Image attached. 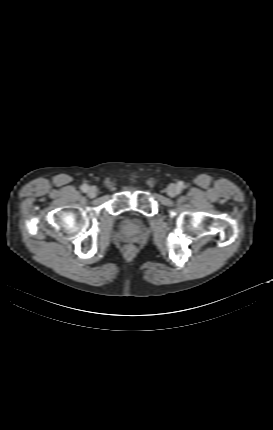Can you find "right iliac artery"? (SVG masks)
<instances>
[{
	"instance_id": "82829eb1",
	"label": "right iliac artery",
	"mask_w": 273,
	"mask_h": 430,
	"mask_svg": "<svg viewBox=\"0 0 273 430\" xmlns=\"http://www.w3.org/2000/svg\"><path fill=\"white\" fill-rule=\"evenodd\" d=\"M88 189H89V187H88V185H86V184H83V185L81 186V190H82L83 192H87V191H88Z\"/></svg>"
}]
</instances>
